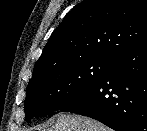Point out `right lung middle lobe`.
Masks as SVG:
<instances>
[{
	"instance_id": "dd1d6c3e",
	"label": "right lung middle lobe",
	"mask_w": 147,
	"mask_h": 131,
	"mask_svg": "<svg viewBox=\"0 0 147 131\" xmlns=\"http://www.w3.org/2000/svg\"><path fill=\"white\" fill-rule=\"evenodd\" d=\"M115 60L88 58L66 63L32 76L25 100V119L61 110L93 88Z\"/></svg>"
}]
</instances>
